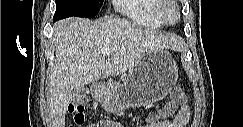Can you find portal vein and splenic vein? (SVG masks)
I'll return each mask as SVG.
<instances>
[{
	"label": "portal vein and splenic vein",
	"mask_w": 243,
	"mask_h": 127,
	"mask_svg": "<svg viewBox=\"0 0 243 127\" xmlns=\"http://www.w3.org/2000/svg\"><path fill=\"white\" fill-rule=\"evenodd\" d=\"M110 53H111V51L108 49H105L102 51V54H104V55H110Z\"/></svg>",
	"instance_id": "1"
}]
</instances>
